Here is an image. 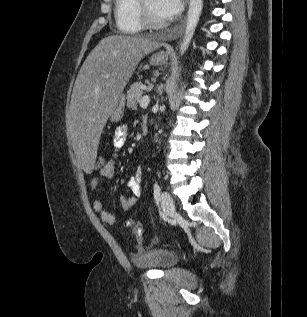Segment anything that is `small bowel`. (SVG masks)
Returning a JSON list of instances; mask_svg holds the SVG:
<instances>
[{"label": "small bowel", "instance_id": "obj_1", "mask_svg": "<svg viewBox=\"0 0 307 317\" xmlns=\"http://www.w3.org/2000/svg\"><path fill=\"white\" fill-rule=\"evenodd\" d=\"M128 138V129L126 125L118 127L113 136V146L116 150L123 148L127 142ZM115 161L111 160L105 164V166L95 175L90 182V187L92 191H96L100 177L111 179L115 174ZM142 179H143V169L137 167L134 174L129 178L127 182L128 189L131 192V195H121L119 197V204L124 210H130L133 208L138 198L142 194ZM94 210L99 213L101 219L107 224H114L116 221V216L109 212L99 199H95L93 202Z\"/></svg>", "mask_w": 307, "mask_h": 317}]
</instances>
